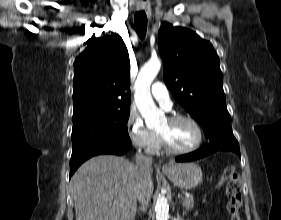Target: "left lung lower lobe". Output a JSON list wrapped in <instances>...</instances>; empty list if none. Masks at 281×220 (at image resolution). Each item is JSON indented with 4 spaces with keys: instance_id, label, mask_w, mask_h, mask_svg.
<instances>
[{
    "instance_id": "obj_1",
    "label": "left lung lower lobe",
    "mask_w": 281,
    "mask_h": 220,
    "mask_svg": "<svg viewBox=\"0 0 281 220\" xmlns=\"http://www.w3.org/2000/svg\"><path fill=\"white\" fill-rule=\"evenodd\" d=\"M216 151H232V152H235L240 157L239 145L226 146V147H215L210 144H205L199 150H197L195 152L177 157L176 161L189 162V161L197 160V159L203 158L205 156H208Z\"/></svg>"
}]
</instances>
